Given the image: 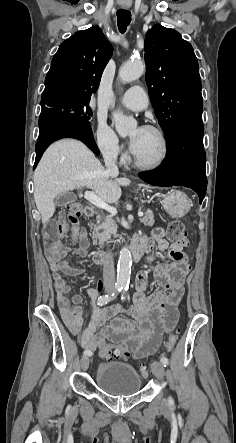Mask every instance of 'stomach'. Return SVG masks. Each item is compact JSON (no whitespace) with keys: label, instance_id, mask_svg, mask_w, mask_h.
Returning a JSON list of instances; mask_svg holds the SVG:
<instances>
[{"label":"stomach","instance_id":"0dacf381","mask_svg":"<svg viewBox=\"0 0 236 443\" xmlns=\"http://www.w3.org/2000/svg\"><path fill=\"white\" fill-rule=\"evenodd\" d=\"M163 208L170 216L179 218L190 209V201L184 192L172 190L164 197Z\"/></svg>","mask_w":236,"mask_h":443}]
</instances>
